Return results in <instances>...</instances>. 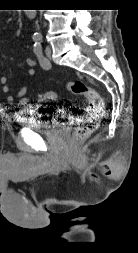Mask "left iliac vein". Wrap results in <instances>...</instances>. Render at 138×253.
<instances>
[{"label": "left iliac vein", "mask_w": 138, "mask_h": 253, "mask_svg": "<svg viewBox=\"0 0 138 253\" xmlns=\"http://www.w3.org/2000/svg\"><path fill=\"white\" fill-rule=\"evenodd\" d=\"M45 54H46V56H47V58H51V49H50V47H46V49H45ZM50 63H49V65H48V68H50Z\"/></svg>", "instance_id": "left-iliac-vein-1"}]
</instances>
